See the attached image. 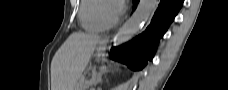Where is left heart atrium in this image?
<instances>
[{
    "mask_svg": "<svg viewBox=\"0 0 228 90\" xmlns=\"http://www.w3.org/2000/svg\"><path fill=\"white\" fill-rule=\"evenodd\" d=\"M123 6L124 5L122 3L113 5V10H114L116 16H118L119 14H121L123 12Z\"/></svg>",
    "mask_w": 228,
    "mask_h": 90,
    "instance_id": "1",
    "label": "left heart atrium"
}]
</instances>
